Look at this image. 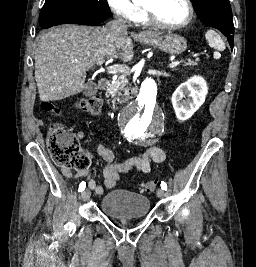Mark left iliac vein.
<instances>
[{
    "label": "left iliac vein",
    "instance_id": "left-iliac-vein-1",
    "mask_svg": "<svg viewBox=\"0 0 256 267\" xmlns=\"http://www.w3.org/2000/svg\"><path fill=\"white\" fill-rule=\"evenodd\" d=\"M156 194H157L158 198H164L165 197V192L163 189H160V188L157 189Z\"/></svg>",
    "mask_w": 256,
    "mask_h": 267
}]
</instances>
